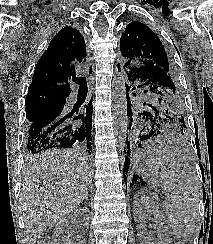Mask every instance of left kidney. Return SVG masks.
<instances>
[{"instance_id": "5707ae66", "label": "left kidney", "mask_w": 213, "mask_h": 244, "mask_svg": "<svg viewBox=\"0 0 213 244\" xmlns=\"http://www.w3.org/2000/svg\"><path fill=\"white\" fill-rule=\"evenodd\" d=\"M146 209L154 216L155 236H150L147 231L145 221ZM133 212L135 221L137 222L141 244H172L161 204L152 194L148 192L139 193L134 199Z\"/></svg>"}]
</instances>
